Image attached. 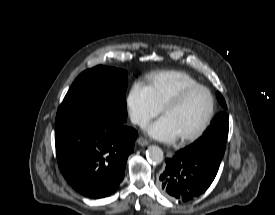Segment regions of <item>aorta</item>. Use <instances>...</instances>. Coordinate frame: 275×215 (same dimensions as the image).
I'll return each instance as SVG.
<instances>
[{
  "label": "aorta",
  "instance_id": "762f6f07",
  "mask_svg": "<svg viewBox=\"0 0 275 215\" xmlns=\"http://www.w3.org/2000/svg\"><path fill=\"white\" fill-rule=\"evenodd\" d=\"M147 159L153 164H160L163 161L164 154L160 147L150 146L146 152Z\"/></svg>",
  "mask_w": 275,
  "mask_h": 215
}]
</instances>
